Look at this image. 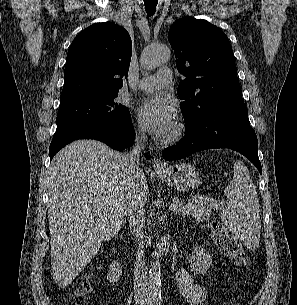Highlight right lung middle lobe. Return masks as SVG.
Returning <instances> with one entry per match:
<instances>
[{
	"instance_id": "obj_1",
	"label": "right lung middle lobe",
	"mask_w": 297,
	"mask_h": 305,
	"mask_svg": "<svg viewBox=\"0 0 297 305\" xmlns=\"http://www.w3.org/2000/svg\"><path fill=\"white\" fill-rule=\"evenodd\" d=\"M117 96L118 91L93 92L61 100L51 143L89 125L129 122L130 112L118 103Z\"/></svg>"
}]
</instances>
